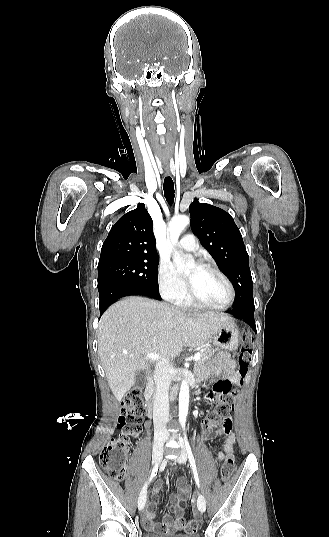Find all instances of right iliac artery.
I'll list each match as a JSON object with an SVG mask.
<instances>
[{"instance_id": "obj_1", "label": "right iliac artery", "mask_w": 329, "mask_h": 537, "mask_svg": "<svg viewBox=\"0 0 329 537\" xmlns=\"http://www.w3.org/2000/svg\"><path fill=\"white\" fill-rule=\"evenodd\" d=\"M158 464L157 463L154 468L152 469V472H151V476H150V480H149V483L151 482V480L157 475V471H158Z\"/></svg>"}]
</instances>
